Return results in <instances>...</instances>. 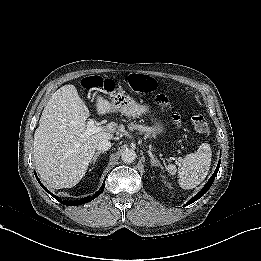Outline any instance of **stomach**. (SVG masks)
I'll return each mask as SVG.
<instances>
[{"mask_svg": "<svg viewBox=\"0 0 261 261\" xmlns=\"http://www.w3.org/2000/svg\"><path fill=\"white\" fill-rule=\"evenodd\" d=\"M111 105L114 110L134 118L141 117L149 112V107L146 104H140L136 102L125 93H119L117 96H115ZM163 130V124L161 122H156L154 126L151 127V133L155 135L162 133Z\"/></svg>", "mask_w": 261, "mask_h": 261, "instance_id": "1", "label": "stomach"}]
</instances>
